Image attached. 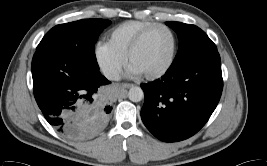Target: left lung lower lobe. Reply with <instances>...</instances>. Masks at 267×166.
<instances>
[{"instance_id":"obj_1","label":"left lung lower lobe","mask_w":267,"mask_h":166,"mask_svg":"<svg viewBox=\"0 0 267 166\" xmlns=\"http://www.w3.org/2000/svg\"><path fill=\"white\" fill-rule=\"evenodd\" d=\"M141 87L145 93L141 118L148 130L164 142L185 140L205 125L221 97L219 53L171 65L165 77Z\"/></svg>"}]
</instances>
